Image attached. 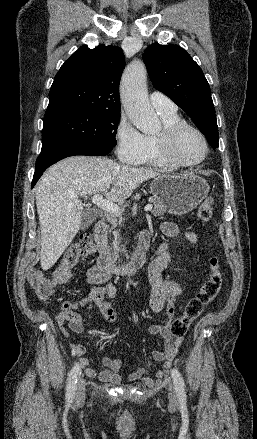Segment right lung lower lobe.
<instances>
[{"mask_svg": "<svg viewBox=\"0 0 257 439\" xmlns=\"http://www.w3.org/2000/svg\"><path fill=\"white\" fill-rule=\"evenodd\" d=\"M111 151L112 148L87 144L62 145L52 149L41 151L36 160V169L32 180V188L41 177L42 173L49 166L63 158L74 155L104 156Z\"/></svg>", "mask_w": 257, "mask_h": 439, "instance_id": "98d812e1", "label": "right lung lower lobe"}]
</instances>
